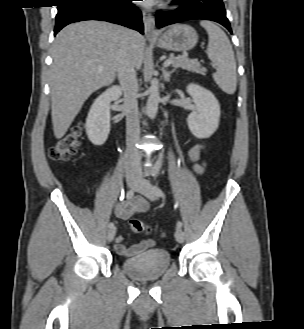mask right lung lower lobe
Here are the masks:
<instances>
[{"mask_svg": "<svg viewBox=\"0 0 304 329\" xmlns=\"http://www.w3.org/2000/svg\"><path fill=\"white\" fill-rule=\"evenodd\" d=\"M132 0H68L58 5L54 35L64 26L101 20L120 24L143 34L142 15Z\"/></svg>", "mask_w": 304, "mask_h": 329, "instance_id": "98d812e1", "label": "right lung lower lobe"}]
</instances>
